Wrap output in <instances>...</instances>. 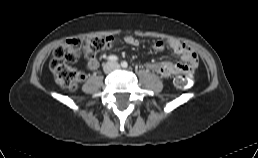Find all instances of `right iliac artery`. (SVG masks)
Masks as SVG:
<instances>
[{
  "instance_id": "1",
  "label": "right iliac artery",
  "mask_w": 258,
  "mask_h": 158,
  "mask_svg": "<svg viewBox=\"0 0 258 158\" xmlns=\"http://www.w3.org/2000/svg\"><path fill=\"white\" fill-rule=\"evenodd\" d=\"M117 60H118V58L115 55H111L108 57V61L116 62Z\"/></svg>"
}]
</instances>
